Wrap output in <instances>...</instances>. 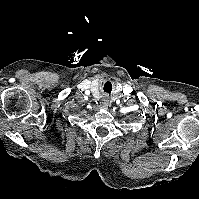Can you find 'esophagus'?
<instances>
[{"instance_id":"esophagus-1","label":"esophagus","mask_w":199,"mask_h":199,"mask_svg":"<svg viewBox=\"0 0 199 199\" xmlns=\"http://www.w3.org/2000/svg\"><path fill=\"white\" fill-rule=\"evenodd\" d=\"M110 104H111V102H110L109 98H108V97H105V98L103 99V101H102L103 107H104V108H108V107L110 106Z\"/></svg>"}]
</instances>
